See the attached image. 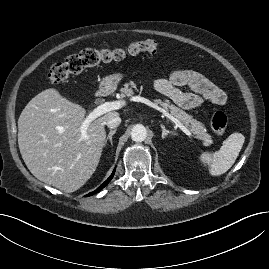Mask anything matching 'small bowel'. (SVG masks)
<instances>
[{
    "instance_id": "small-bowel-1",
    "label": "small bowel",
    "mask_w": 269,
    "mask_h": 269,
    "mask_svg": "<svg viewBox=\"0 0 269 269\" xmlns=\"http://www.w3.org/2000/svg\"><path fill=\"white\" fill-rule=\"evenodd\" d=\"M187 86L190 92L180 87ZM156 91L170 98L179 107L191 110L209 100L215 105L226 104L225 92L202 74L191 69L174 70L169 78H160L154 82Z\"/></svg>"
}]
</instances>
